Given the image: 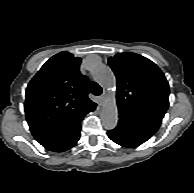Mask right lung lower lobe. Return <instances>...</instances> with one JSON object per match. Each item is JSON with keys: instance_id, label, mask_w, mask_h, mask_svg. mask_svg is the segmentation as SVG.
<instances>
[{"instance_id": "obj_1", "label": "right lung lower lobe", "mask_w": 194, "mask_h": 193, "mask_svg": "<svg viewBox=\"0 0 194 193\" xmlns=\"http://www.w3.org/2000/svg\"><path fill=\"white\" fill-rule=\"evenodd\" d=\"M94 109L95 107L91 111H94ZM86 114L67 121L54 129L33 134V136L47 150L54 152L66 151L73 147L79 140L80 122Z\"/></svg>"}]
</instances>
